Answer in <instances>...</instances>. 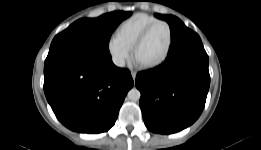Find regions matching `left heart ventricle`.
Instances as JSON below:
<instances>
[{
  "instance_id": "obj_1",
  "label": "left heart ventricle",
  "mask_w": 261,
  "mask_h": 150,
  "mask_svg": "<svg viewBox=\"0 0 261 150\" xmlns=\"http://www.w3.org/2000/svg\"><path fill=\"white\" fill-rule=\"evenodd\" d=\"M168 43V29L164 25H157L139 47L136 60L142 65L160 60L167 51Z\"/></svg>"
}]
</instances>
